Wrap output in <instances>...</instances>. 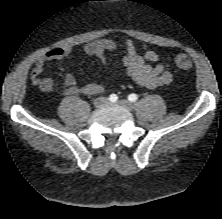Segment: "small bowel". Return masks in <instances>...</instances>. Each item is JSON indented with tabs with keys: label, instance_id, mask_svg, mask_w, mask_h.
Segmentation results:
<instances>
[{
	"label": "small bowel",
	"instance_id": "c3829d8e",
	"mask_svg": "<svg viewBox=\"0 0 222 219\" xmlns=\"http://www.w3.org/2000/svg\"><path fill=\"white\" fill-rule=\"evenodd\" d=\"M126 55L122 64L126 69L128 76L139 86L152 89L158 86L167 85L173 81L174 75L170 66L162 62L158 53L143 47L144 54L140 55L136 44L131 39H126L122 43ZM119 45L111 39H98L86 44L82 53L88 56H94L107 64L105 53L114 51ZM72 52L68 45L54 48L40 56L34 68L32 69L29 81L32 85L37 86L43 92L61 91L68 95H97L104 91V87L99 83H87L79 85L73 74L67 72L64 67V79L61 84H56L49 77L43 76L45 67L54 60H66Z\"/></svg>",
	"mask_w": 222,
	"mask_h": 219
}]
</instances>
